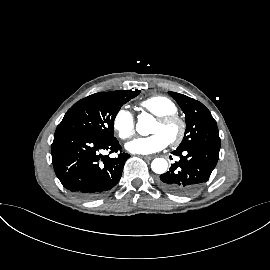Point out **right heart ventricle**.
<instances>
[{"label": "right heart ventricle", "mask_w": 270, "mask_h": 270, "mask_svg": "<svg viewBox=\"0 0 270 270\" xmlns=\"http://www.w3.org/2000/svg\"><path fill=\"white\" fill-rule=\"evenodd\" d=\"M140 106L156 117L178 112L177 105L170 98L161 95L142 100Z\"/></svg>", "instance_id": "right-heart-ventricle-1"}]
</instances>
